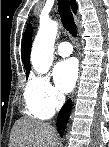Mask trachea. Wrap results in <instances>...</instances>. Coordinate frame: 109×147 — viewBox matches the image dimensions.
I'll return each instance as SVG.
<instances>
[{"instance_id":"obj_1","label":"trachea","mask_w":109,"mask_h":147,"mask_svg":"<svg viewBox=\"0 0 109 147\" xmlns=\"http://www.w3.org/2000/svg\"><path fill=\"white\" fill-rule=\"evenodd\" d=\"M58 9L63 27L70 32L72 36L77 35V27L70 10L69 0H58Z\"/></svg>"}]
</instances>
